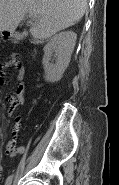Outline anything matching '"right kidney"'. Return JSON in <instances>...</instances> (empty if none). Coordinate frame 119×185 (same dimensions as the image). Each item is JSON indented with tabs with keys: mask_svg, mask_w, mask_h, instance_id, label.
I'll list each match as a JSON object with an SVG mask.
<instances>
[{
	"mask_svg": "<svg viewBox=\"0 0 119 185\" xmlns=\"http://www.w3.org/2000/svg\"><path fill=\"white\" fill-rule=\"evenodd\" d=\"M76 39V33L64 31L53 36L45 45L42 64L46 81L57 82L62 78L65 69L69 65ZM52 56L55 57V63L50 62Z\"/></svg>",
	"mask_w": 119,
	"mask_h": 185,
	"instance_id": "1",
	"label": "right kidney"
}]
</instances>
